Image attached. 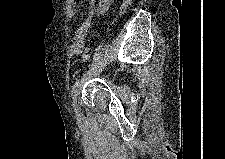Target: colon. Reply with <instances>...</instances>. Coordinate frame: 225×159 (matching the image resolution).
I'll return each instance as SVG.
<instances>
[{"mask_svg": "<svg viewBox=\"0 0 225 159\" xmlns=\"http://www.w3.org/2000/svg\"><path fill=\"white\" fill-rule=\"evenodd\" d=\"M130 4V0H122L121 5L118 11V17H122V15L126 12L128 6ZM91 60V49L87 48L83 53V61L85 63L90 62Z\"/></svg>", "mask_w": 225, "mask_h": 159, "instance_id": "1", "label": "colon"}]
</instances>
